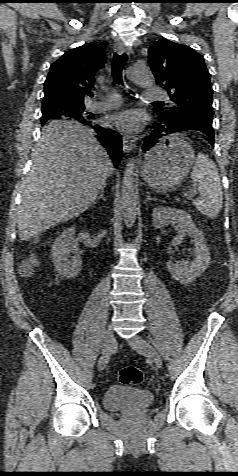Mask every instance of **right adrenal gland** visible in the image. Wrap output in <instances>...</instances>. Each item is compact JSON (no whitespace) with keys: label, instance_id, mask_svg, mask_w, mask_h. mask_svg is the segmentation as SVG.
Listing matches in <instances>:
<instances>
[{"label":"right adrenal gland","instance_id":"obj_1","mask_svg":"<svg viewBox=\"0 0 238 476\" xmlns=\"http://www.w3.org/2000/svg\"><path fill=\"white\" fill-rule=\"evenodd\" d=\"M99 199H102L103 201H105V197H104V188L101 189L100 191V195L97 197V199L93 202L94 204L96 203V201H98Z\"/></svg>","mask_w":238,"mask_h":476}]
</instances>
